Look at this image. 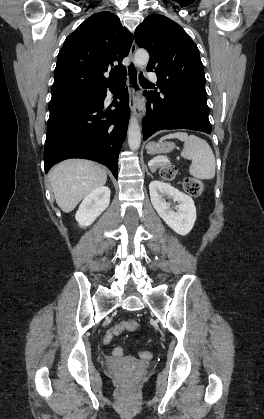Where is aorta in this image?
I'll use <instances>...</instances> for the list:
<instances>
[{"mask_svg": "<svg viewBox=\"0 0 264 419\" xmlns=\"http://www.w3.org/2000/svg\"><path fill=\"white\" fill-rule=\"evenodd\" d=\"M149 54L146 50L140 49L135 53L134 62L138 67L147 65ZM128 144L131 150H138L141 144V130L135 116H131L128 127Z\"/></svg>", "mask_w": 264, "mask_h": 419, "instance_id": "aorta-1", "label": "aorta"}]
</instances>
